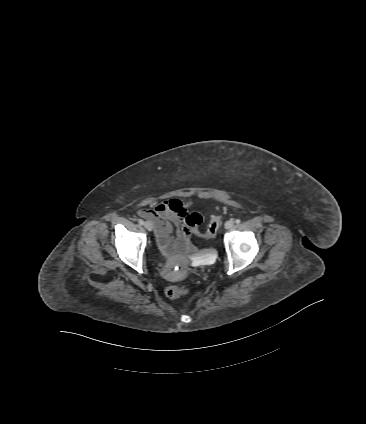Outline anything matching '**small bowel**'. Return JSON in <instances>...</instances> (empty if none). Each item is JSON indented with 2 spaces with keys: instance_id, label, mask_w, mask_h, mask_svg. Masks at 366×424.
<instances>
[{
  "instance_id": "1",
  "label": "small bowel",
  "mask_w": 366,
  "mask_h": 424,
  "mask_svg": "<svg viewBox=\"0 0 366 424\" xmlns=\"http://www.w3.org/2000/svg\"><path fill=\"white\" fill-rule=\"evenodd\" d=\"M189 203L176 198L155 202L152 209H142L139 215L154 226L160 248L170 252L175 248L183 249L190 243V236L181 228L180 223L186 214Z\"/></svg>"
}]
</instances>
